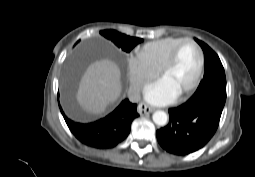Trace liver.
I'll list each match as a JSON object with an SVG mask.
<instances>
[{
  "label": "liver",
  "mask_w": 255,
  "mask_h": 177,
  "mask_svg": "<svg viewBox=\"0 0 255 177\" xmlns=\"http://www.w3.org/2000/svg\"><path fill=\"white\" fill-rule=\"evenodd\" d=\"M120 69L109 59L96 61L83 74L76 99L81 108L90 114H101L120 96L122 86Z\"/></svg>",
  "instance_id": "liver-1"
}]
</instances>
